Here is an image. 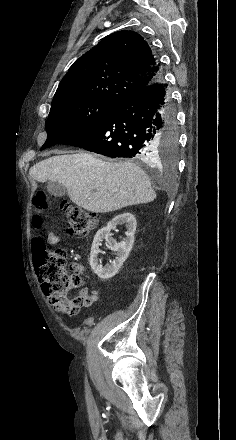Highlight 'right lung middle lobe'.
Wrapping results in <instances>:
<instances>
[{
	"label": "right lung middle lobe",
	"mask_w": 236,
	"mask_h": 440,
	"mask_svg": "<svg viewBox=\"0 0 236 440\" xmlns=\"http://www.w3.org/2000/svg\"><path fill=\"white\" fill-rule=\"evenodd\" d=\"M117 106L118 104L89 99L52 103L45 123L47 140L41 150L63 143L70 137L89 129ZM177 141L176 130H166L159 136L157 145L166 163L174 162Z\"/></svg>",
	"instance_id": "1"
}]
</instances>
